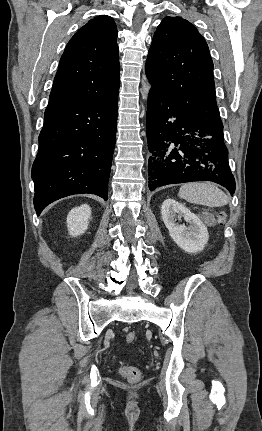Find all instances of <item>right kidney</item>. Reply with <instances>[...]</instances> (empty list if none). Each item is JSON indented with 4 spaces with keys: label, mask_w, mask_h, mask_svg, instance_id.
I'll use <instances>...</instances> for the list:
<instances>
[{
    "label": "right kidney",
    "mask_w": 262,
    "mask_h": 431,
    "mask_svg": "<svg viewBox=\"0 0 262 431\" xmlns=\"http://www.w3.org/2000/svg\"><path fill=\"white\" fill-rule=\"evenodd\" d=\"M91 216V208L87 204L73 208L67 216L69 234L73 237L83 234L87 228Z\"/></svg>",
    "instance_id": "1"
}]
</instances>
